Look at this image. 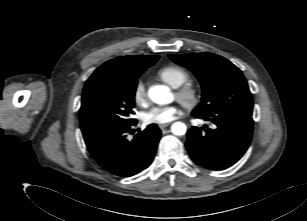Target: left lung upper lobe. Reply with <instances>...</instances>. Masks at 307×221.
Segmentation results:
<instances>
[{"label":"left lung upper lobe","instance_id":"1","mask_svg":"<svg viewBox=\"0 0 307 221\" xmlns=\"http://www.w3.org/2000/svg\"><path fill=\"white\" fill-rule=\"evenodd\" d=\"M199 79L202 99L192 113L209 116L223 109H253V100L241 70L227 59L209 52L169 54Z\"/></svg>","mask_w":307,"mask_h":221}]
</instances>
